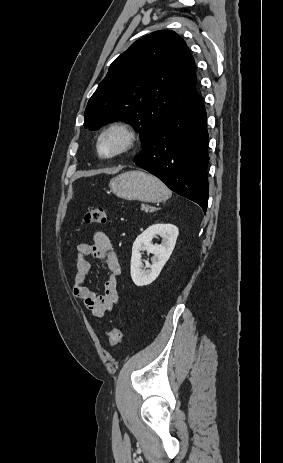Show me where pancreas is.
<instances>
[{
  "label": "pancreas",
  "instance_id": "obj_1",
  "mask_svg": "<svg viewBox=\"0 0 283 463\" xmlns=\"http://www.w3.org/2000/svg\"><path fill=\"white\" fill-rule=\"evenodd\" d=\"M141 210L146 212V213L155 211V209L153 207L148 206V205H142Z\"/></svg>",
  "mask_w": 283,
  "mask_h": 463
}]
</instances>
